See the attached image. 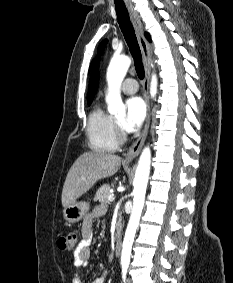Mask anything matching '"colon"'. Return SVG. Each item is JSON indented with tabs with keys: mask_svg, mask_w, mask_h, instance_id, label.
Listing matches in <instances>:
<instances>
[{
	"mask_svg": "<svg viewBox=\"0 0 233 283\" xmlns=\"http://www.w3.org/2000/svg\"><path fill=\"white\" fill-rule=\"evenodd\" d=\"M78 237L75 232H70L58 239V246L60 249L74 252L77 249Z\"/></svg>",
	"mask_w": 233,
	"mask_h": 283,
	"instance_id": "colon-1",
	"label": "colon"
}]
</instances>
